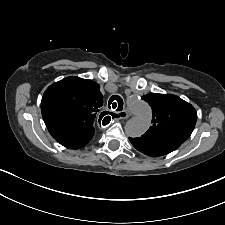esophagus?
Instances as JSON below:
<instances>
[{"mask_svg": "<svg viewBox=\"0 0 225 225\" xmlns=\"http://www.w3.org/2000/svg\"><path fill=\"white\" fill-rule=\"evenodd\" d=\"M129 117V114L126 110L121 111L116 114L115 119H127Z\"/></svg>", "mask_w": 225, "mask_h": 225, "instance_id": "esophagus-1", "label": "esophagus"}]
</instances>
